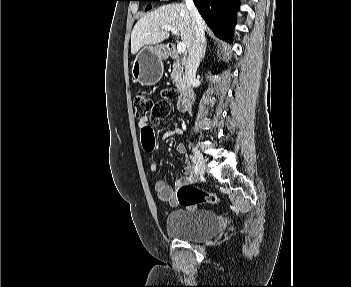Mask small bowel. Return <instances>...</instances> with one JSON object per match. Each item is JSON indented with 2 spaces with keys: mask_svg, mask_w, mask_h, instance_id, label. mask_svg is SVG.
<instances>
[{
  "mask_svg": "<svg viewBox=\"0 0 351 287\" xmlns=\"http://www.w3.org/2000/svg\"><path fill=\"white\" fill-rule=\"evenodd\" d=\"M138 126L140 128V139L141 145L144 150H142V156H156V132L155 127L152 124H148L147 117L139 118ZM183 133V128L179 124H173L169 130L164 132L161 139L165 140L173 135H181ZM176 152L180 155L185 156L186 147L183 143H178L175 147ZM184 167L182 169L183 177L176 181V187L179 188L182 185L190 184L194 182V173L190 161L184 159ZM148 170L150 172H155L157 170V165L153 162L148 164ZM155 190L158 197L162 201L169 202L173 206L178 205V200L173 188L168 186L162 179L155 180L154 183Z\"/></svg>",
  "mask_w": 351,
  "mask_h": 287,
  "instance_id": "small-bowel-1",
  "label": "small bowel"
}]
</instances>
